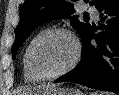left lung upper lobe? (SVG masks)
Here are the masks:
<instances>
[{"label": "left lung upper lobe", "instance_id": "left-lung-upper-lobe-1", "mask_svg": "<svg viewBox=\"0 0 119 95\" xmlns=\"http://www.w3.org/2000/svg\"><path fill=\"white\" fill-rule=\"evenodd\" d=\"M77 0H26L21 12L20 22L16 31V39L12 47L15 59L18 48L24 43L29 34L42 23L52 19L72 18L71 25L80 33L83 39L91 25L80 22L75 13L74 3ZM85 3L98 8L104 0H84Z\"/></svg>", "mask_w": 119, "mask_h": 95}]
</instances>
